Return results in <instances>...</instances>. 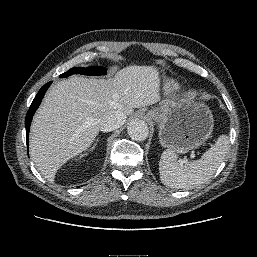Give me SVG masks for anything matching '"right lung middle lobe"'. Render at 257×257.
<instances>
[{
    "label": "right lung middle lobe",
    "instance_id": "obj_1",
    "mask_svg": "<svg viewBox=\"0 0 257 257\" xmlns=\"http://www.w3.org/2000/svg\"><path fill=\"white\" fill-rule=\"evenodd\" d=\"M106 69L101 66H91L88 68H78L74 67L67 72L60 75V78L68 77L73 74H83V75H104L106 74Z\"/></svg>",
    "mask_w": 257,
    "mask_h": 257
}]
</instances>
